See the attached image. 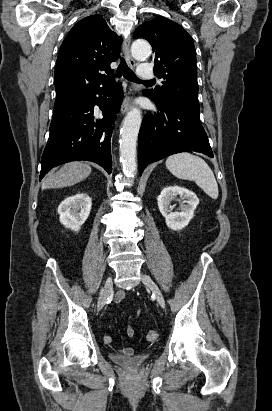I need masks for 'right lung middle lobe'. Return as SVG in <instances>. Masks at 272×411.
I'll return each instance as SVG.
<instances>
[{"instance_id":"right-lung-middle-lobe-1","label":"right lung middle lobe","mask_w":272,"mask_h":411,"mask_svg":"<svg viewBox=\"0 0 272 411\" xmlns=\"http://www.w3.org/2000/svg\"><path fill=\"white\" fill-rule=\"evenodd\" d=\"M74 103H75V102H74ZM71 104H73V103H71ZM68 105H70V104H68ZM68 105H65V106L54 105V110L61 109V108L66 107V106H68Z\"/></svg>"}]
</instances>
